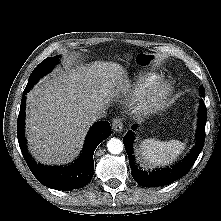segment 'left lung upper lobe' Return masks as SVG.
Returning <instances> with one entry per match:
<instances>
[{
	"label": "left lung upper lobe",
	"mask_w": 221,
	"mask_h": 221,
	"mask_svg": "<svg viewBox=\"0 0 221 221\" xmlns=\"http://www.w3.org/2000/svg\"><path fill=\"white\" fill-rule=\"evenodd\" d=\"M201 94L204 96V88H201Z\"/></svg>",
	"instance_id": "obj_1"
}]
</instances>
